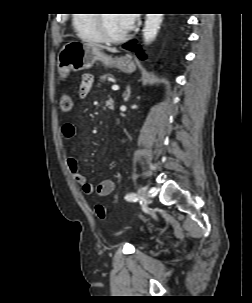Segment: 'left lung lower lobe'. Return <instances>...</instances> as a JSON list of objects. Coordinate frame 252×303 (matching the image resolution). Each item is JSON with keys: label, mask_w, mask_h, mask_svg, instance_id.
<instances>
[{"label": "left lung lower lobe", "mask_w": 252, "mask_h": 303, "mask_svg": "<svg viewBox=\"0 0 252 303\" xmlns=\"http://www.w3.org/2000/svg\"><path fill=\"white\" fill-rule=\"evenodd\" d=\"M136 45V40L132 41V42H129V43H126L123 45V48L127 49V50H130V51H135L136 49L138 50L137 51V55L140 59H145V55L143 52L140 51V45Z\"/></svg>", "instance_id": "0a47b994"}]
</instances>
